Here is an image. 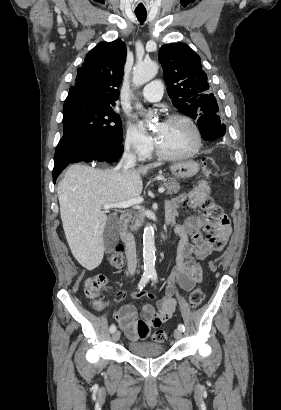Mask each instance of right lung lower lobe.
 Listing matches in <instances>:
<instances>
[{
  "label": "right lung lower lobe",
  "instance_id": "right-lung-lower-lobe-1",
  "mask_svg": "<svg viewBox=\"0 0 281 410\" xmlns=\"http://www.w3.org/2000/svg\"><path fill=\"white\" fill-rule=\"evenodd\" d=\"M122 153V143L87 144L61 150L55 153L53 182H56L58 175L70 163H77L80 161H105L110 163L119 160Z\"/></svg>",
  "mask_w": 281,
  "mask_h": 410
}]
</instances>
